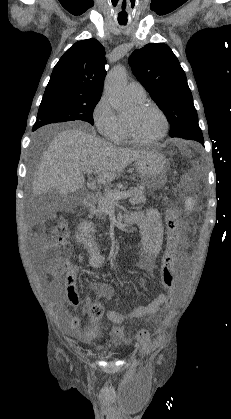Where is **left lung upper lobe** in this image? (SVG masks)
Here are the masks:
<instances>
[{"mask_svg":"<svg viewBox=\"0 0 231 419\" xmlns=\"http://www.w3.org/2000/svg\"><path fill=\"white\" fill-rule=\"evenodd\" d=\"M129 64L138 81L167 115L171 126L169 136L202 133L185 72L168 45L147 44L131 54Z\"/></svg>","mask_w":231,"mask_h":419,"instance_id":"5c2ea615","label":"left lung upper lobe"}]
</instances>
